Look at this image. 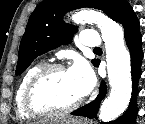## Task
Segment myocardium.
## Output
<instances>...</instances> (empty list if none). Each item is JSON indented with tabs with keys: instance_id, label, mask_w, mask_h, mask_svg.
Returning <instances> with one entry per match:
<instances>
[{
	"instance_id": "obj_1",
	"label": "myocardium",
	"mask_w": 145,
	"mask_h": 124,
	"mask_svg": "<svg viewBox=\"0 0 145 124\" xmlns=\"http://www.w3.org/2000/svg\"><path fill=\"white\" fill-rule=\"evenodd\" d=\"M56 71H66V67L60 63L43 65L29 80L24 92V107L29 114L34 116L63 115L74 111L82 104L81 98L65 107H56L50 103L40 102V86L50 74Z\"/></svg>"
}]
</instances>
